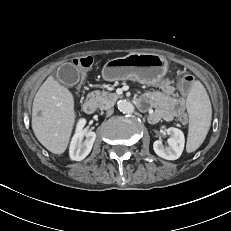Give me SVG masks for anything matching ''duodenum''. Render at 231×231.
<instances>
[{"label": "duodenum", "mask_w": 231, "mask_h": 231, "mask_svg": "<svg viewBox=\"0 0 231 231\" xmlns=\"http://www.w3.org/2000/svg\"><path fill=\"white\" fill-rule=\"evenodd\" d=\"M136 106L140 110H144L146 105L141 101V99H136L135 100ZM97 109V104L96 101L93 98H87L84 103H83V111L86 114H93Z\"/></svg>", "instance_id": "1"}]
</instances>
